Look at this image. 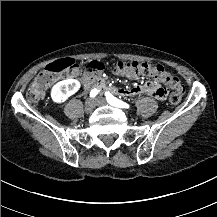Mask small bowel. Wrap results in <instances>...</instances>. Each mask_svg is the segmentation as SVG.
Here are the masks:
<instances>
[{"mask_svg":"<svg viewBox=\"0 0 217 217\" xmlns=\"http://www.w3.org/2000/svg\"><path fill=\"white\" fill-rule=\"evenodd\" d=\"M78 74H79V70L75 69V70H73L72 73L65 74L63 76L74 77ZM116 74L121 75L119 73H116ZM115 92L121 96H134V95H139V94L144 93V94L151 95V96L158 98V99L163 98V96L165 94V91L163 89H159L157 87V85L152 83V82L146 83L144 85L133 86L131 88L118 87L115 89Z\"/></svg>","mask_w":217,"mask_h":217,"instance_id":"1","label":"small bowel"}]
</instances>
